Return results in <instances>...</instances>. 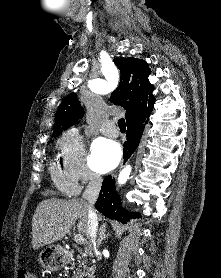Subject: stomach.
Segmentation results:
<instances>
[{"instance_id":"1","label":"stomach","mask_w":221,"mask_h":278,"mask_svg":"<svg viewBox=\"0 0 221 278\" xmlns=\"http://www.w3.org/2000/svg\"><path fill=\"white\" fill-rule=\"evenodd\" d=\"M39 262L50 271H58L65 265L66 257L60 247L49 245L40 252Z\"/></svg>"}]
</instances>
